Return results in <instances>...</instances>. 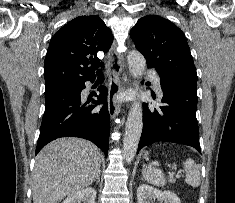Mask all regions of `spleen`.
Listing matches in <instances>:
<instances>
[{
    "mask_svg": "<svg viewBox=\"0 0 235 203\" xmlns=\"http://www.w3.org/2000/svg\"><path fill=\"white\" fill-rule=\"evenodd\" d=\"M186 173L185 182L193 187H198L201 183L198 165L192 159H187L183 163ZM142 175L146 181L156 186H164L166 183L162 170L151 166H143Z\"/></svg>",
    "mask_w": 235,
    "mask_h": 203,
    "instance_id": "spleen-1",
    "label": "spleen"
}]
</instances>
